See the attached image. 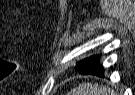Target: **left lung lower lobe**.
Listing matches in <instances>:
<instances>
[{
    "label": "left lung lower lobe",
    "mask_w": 135,
    "mask_h": 95,
    "mask_svg": "<svg viewBox=\"0 0 135 95\" xmlns=\"http://www.w3.org/2000/svg\"><path fill=\"white\" fill-rule=\"evenodd\" d=\"M99 59V55L89 57L85 63V66L77 71L83 75L90 74L104 76V68L98 63Z\"/></svg>",
    "instance_id": "1"
}]
</instances>
